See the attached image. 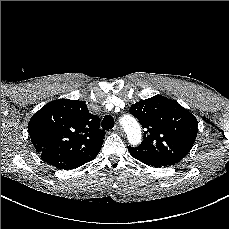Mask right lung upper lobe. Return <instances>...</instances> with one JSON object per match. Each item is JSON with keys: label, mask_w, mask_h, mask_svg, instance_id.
Listing matches in <instances>:
<instances>
[{"label": "right lung upper lobe", "mask_w": 229, "mask_h": 229, "mask_svg": "<svg viewBox=\"0 0 229 229\" xmlns=\"http://www.w3.org/2000/svg\"><path fill=\"white\" fill-rule=\"evenodd\" d=\"M82 101L59 99L37 111L28 123L31 142L41 158L59 169H73L95 158L105 132Z\"/></svg>", "instance_id": "obj_1"}]
</instances>
